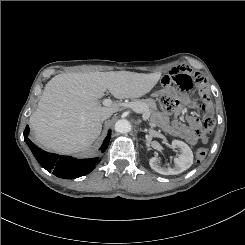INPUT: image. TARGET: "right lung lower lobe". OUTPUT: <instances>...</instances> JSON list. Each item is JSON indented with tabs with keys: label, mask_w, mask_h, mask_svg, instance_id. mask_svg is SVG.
Here are the masks:
<instances>
[{
	"label": "right lung lower lobe",
	"mask_w": 245,
	"mask_h": 245,
	"mask_svg": "<svg viewBox=\"0 0 245 245\" xmlns=\"http://www.w3.org/2000/svg\"><path fill=\"white\" fill-rule=\"evenodd\" d=\"M29 127L26 126L24 131V140L31 149L33 155L40 163V165L47 171L52 172L55 176L64 179H74L90 173L94 168L98 158L92 159H76L68 156H61L53 153H48L37 147L28 138ZM111 137V130H109L107 137L101 147L104 152L109 144Z\"/></svg>",
	"instance_id": "obj_1"
}]
</instances>
